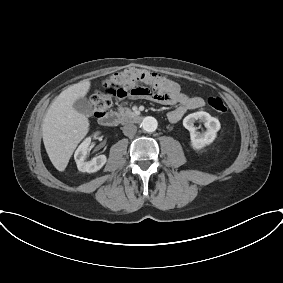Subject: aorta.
Here are the masks:
<instances>
[{"label":"aorta","mask_w":283,"mask_h":283,"mask_svg":"<svg viewBox=\"0 0 283 283\" xmlns=\"http://www.w3.org/2000/svg\"><path fill=\"white\" fill-rule=\"evenodd\" d=\"M158 122L154 117L147 116L143 119L141 127L146 132H154L157 129Z\"/></svg>","instance_id":"obj_1"}]
</instances>
